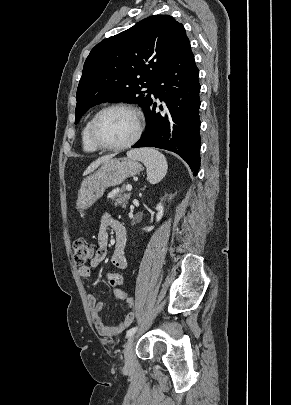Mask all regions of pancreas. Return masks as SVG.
<instances>
[{
	"instance_id": "cf45deb5",
	"label": "pancreas",
	"mask_w": 291,
	"mask_h": 405,
	"mask_svg": "<svg viewBox=\"0 0 291 405\" xmlns=\"http://www.w3.org/2000/svg\"><path fill=\"white\" fill-rule=\"evenodd\" d=\"M130 198V193H125V187H122L119 192L113 193L111 195L112 201H114L115 206H122L123 208L126 207Z\"/></svg>"
}]
</instances>
